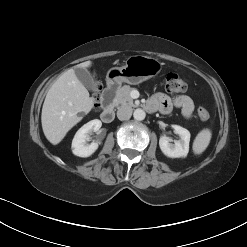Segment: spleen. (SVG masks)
<instances>
[{
	"label": "spleen",
	"instance_id": "3e777b00",
	"mask_svg": "<svg viewBox=\"0 0 247 247\" xmlns=\"http://www.w3.org/2000/svg\"><path fill=\"white\" fill-rule=\"evenodd\" d=\"M211 137H212V133L210 129L206 128V129L201 130L197 134L193 142V152L196 155L202 154L208 147Z\"/></svg>",
	"mask_w": 247,
	"mask_h": 247
}]
</instances>
